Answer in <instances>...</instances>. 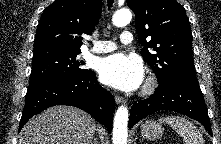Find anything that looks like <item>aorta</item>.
<instances>
[{
  "label": "aorta",
  "instance_id": "762f6f07",
  "mask_svg": "<svg viewBox=\"0 0 221 144\" xmlns=\"http://www.w3.org/2000/svg\"><path fill=\"white\" fill-rule=\"evenodd\" d=\"M132 13L129 9H120L116 11L112 17L113 25L123 27L130 23ZM128 108L120 106L114 117L113 123V144H127L128 137Z\"/></svg>",
  "mask_w": 221,
  "mask_h": 144
}]
</instances>
